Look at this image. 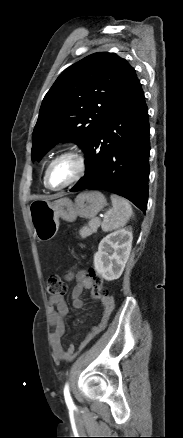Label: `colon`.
<instances>
[{"mask_svg": "<svg viewBox=\"0 0 183 438\" xmlns=\"http://www.w3.org/2000/svg\"><path fill=\"white\" fill-rule=\"evenodd\" d=\"M89 277L92 279L91 295L94 299H101L109 295L103 285L100 275L94 270H89ZM67 290L66 283L57 275L51 276L47 281L46 291L50 298L63 296Z\"/></svg>", "mask_w": 183, "mask_h": 438, "instance_id": "5ec220e1", "label": "colon"}]
</instances>
